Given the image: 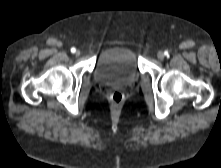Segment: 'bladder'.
<instances>
[{
  "label": "bladder",
  "instance_id": "1",
  "mask_svg": "<svg viewBox=\"0 0 221 168\" xmlns=\"http://www.w3.org/2000/svg\"><path fill=\"white\" fill-rule=\"evenodd\" d=\"M140 76L136 52L127 46H114L99 56L95 70V80L104 85L130 84Z\"/></svg>",
  "mask_w": 221,
  "mask_h": 168
}]
</instances>
